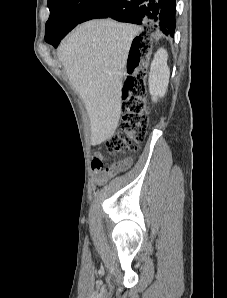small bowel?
I'll return each instance as SVG.
<instances>
[{
    "mask_svg": "<svg viewBox=\"0 0 227 298\" xmlns=\"http://www.w3.org/2000/svg\"><path fill=\"white\" fill-rule=\"evenodd\" d=\"M132 163L131 158H124L120 161L114 162L110 166L104 165V156L97 152L92 160V168L97 182L102 183L112 176L126 170Z\"/></svg>",
    "mask_w": 227,
    "mask_h": 298,
    "instance_id": "1",
    "label": "small bowel"
}]
</instances>
